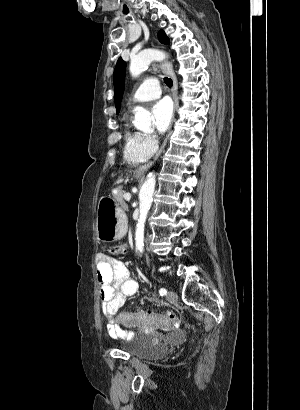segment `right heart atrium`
Segmentation results:
<instances>
[{"label": "right heart atrium", "mask_w": 300, "mask_h": 410, "mask_svg": "<svg viewBox=\"0 0 300 410\" xmlns=\"http://www.w3.org/2000/svg\"><path fill=\"white\" fill-rule=\"evenodd\" d=\"M140 141L142 148L149 154H152L157 148V139L149 134H141Z\"/></svg>", "instance_id": "d8ad5b80"}]
</instances>
